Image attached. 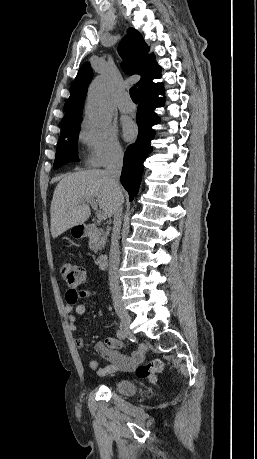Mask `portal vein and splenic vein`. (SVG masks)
Masks as SVG:
<instances>
[{"label": "portal vein and splenic vein", "mask_w": 257, "mask_h": 459, "mask_svg": "<svg viewBox=\"0 0 257 459\" xmlns=\"http://www.w3.org/2000/svg\"><path fill=\"white\" fill-rule=\"evenodd\" d=\"M87 203L91 205V207L97 210V203L94 199L87 200ZM96 216L99 220H105L106 216L103 211H96Z\"/></svg>", "instance_id": "1"}]
</instances>
